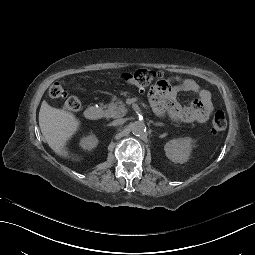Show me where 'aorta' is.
Masks as SVG:
<instances>
[{"mask_svg": "<svg viewBox=\"0 0 255 255\" xmlns=\"http://www.w3.org/2000/svg\"><path fill=\"white\" fill-rule=\"evenodd\" d=\"M131 131L134 135L140 136L146 131V126L142 121L131 123Z\"/></svg>", "mask_w": 255, "mask_h": 255, "instance_id": "1", "label": "aorta"}]
</instances>
